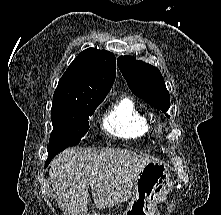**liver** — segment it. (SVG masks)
<instances>
[{"label":"liver","instance_id":"6515ba94","mask_svg":"<svg viewBox=\"0 0 221 215\" xmlns=\"http://www.w3.org/2000/svg\"><path fill=\"white\" fill-rule=\"evenodd\" d=\"M149 162L129 150L68 148L50 163V183L65 215H88L89 187L99 210L112 208L128 199Z\"/></svg>","mask_w":221,"mask_h":215}]
</instances>
